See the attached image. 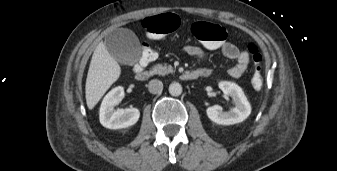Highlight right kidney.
<instances>
[{
    "label": "right kidney",
    "instance_id": "right-kidney-1",
    "mask_svg": "<svg viewBox=\"0 0 337 171\" xmlns=\"http://www.w3.org/2000/svg\"><path fill=\"white\" fill-rule=\"evenodd\" d=\"M123 97L124 89L121 86L112 89L104 97L99 112V120L104 127L121 129L137 123L140 117V112L137 108L114 109Z\"/></svg>",
    "mask_w": 337,
    "mask_h": 171
}]
</instances>
